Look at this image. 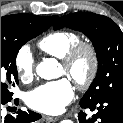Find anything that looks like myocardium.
I'll return each instance as SVG.
<instances>
[{
    "label": "myocardium",
    "mask_w": 123,
    "mask_h": 123,
    "mask_svg": "<svg viewBox=\"0 0 123 123\" xmlns=\"http://www.w3.org/2000/svg\"><path fill=\"white\" fill-rule=\"evenodd\" d=\"M82 55H87L89 58V70L83 78L74 79L71 77V71L77 60ZM61 64L65 69V74L73 80L79 89H87L92 85L99 71L100 60L98 51L93 43L88 41H79L65 54L62 58Z\"/></svg>",
    "instance_id": "f54148a6"
}]
</instances>
